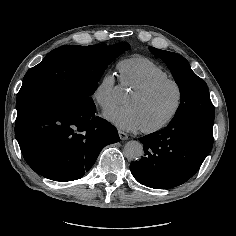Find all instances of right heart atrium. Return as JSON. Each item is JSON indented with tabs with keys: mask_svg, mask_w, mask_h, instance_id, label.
I'll return each mask as SVG.
<instances>
[{
	"mask_svg": "<svg viewBox=\"0 0 236 236\" xmlns=\"http://www.w3.org/2000/svg\"><path fill=\"white\" fill-rule=\"evenodd\" d=\"M118 79L111 71H107L92 90L91 96L95 103L103 110H109L116 105L114 92Z\"/></svg>",
	"mask_w": 236,
	"mask_h": 236,
	"instance_id": "d8ad5b80",
	"label": "right heart atrium"
}]
</instances>
